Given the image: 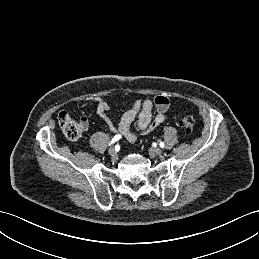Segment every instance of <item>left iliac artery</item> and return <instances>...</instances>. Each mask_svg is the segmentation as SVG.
Masks as SVG:
<instances>
[{"mask_svg": "<svg viewBox=\"0 0 259 259\" xmlns=\"http://www.w3.org/2000/svg\"><path fill=\"white\" fill-rule=\"evenodd\" d=\"M164 146H165L164 143H163V142H160V147H161V148H164Z\"/></svg>", "mask_w": 259, "mask_h": 259, "instance_id": "left-iliac-artery-1", "label": "left iliac artery"}]
</instances>
